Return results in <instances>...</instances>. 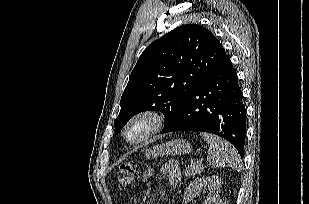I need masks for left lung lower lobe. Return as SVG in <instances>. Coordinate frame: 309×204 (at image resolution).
Returning a JSON list of instances; mask_svg holds the SVG:
<instances>
[{"instance_id":"1","label":"left lung lower lobe","mask_w":309,"mask_h":204,"mask_svg":"<svg viewBox=\"0 0 309 204\" xmlns=\"http://www.w3.org/2000/svg\"><path fill=\"white\" fill-rule=\"evenodd\" d=\"M202 131L218 135L244 154L246 109L230 58L211 70L165 123L162 133Z\"/></svg>"}]
</instances>
